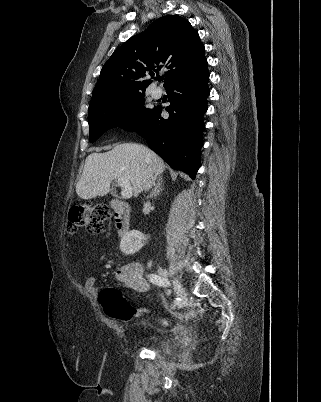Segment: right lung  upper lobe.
I'll list each match as a JSON object with an SVG mask.
<instances>
[{
    "mask_svg": "<svg viewBox=\"0 0 321 402\" xmlns=\"http://www.w3.org/2000/svg\"><path fill=\"white\" fill-rule=\"evenodd\" d=\"M198 32L189 21L167 15L145 32L128 39L104 64L90 107L127 95L145 92L151 80L144 77L165 72L164 87L176 78L207 64Z\"/></svg>",
    "mask_w": 321,
    "mask_h": 402,
    "instance_id": "right-lung-upper-lobe-1",
    "label": "right lung upper lobe"
}]
</instances>
